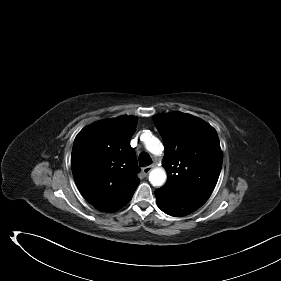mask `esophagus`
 Masks as SVG:
<instances>
[{
  "label": "esophagus",
  "mask_w": 281,
  "mask_h": 281,
  "mask_svg": "<svg viewBox=\"0 0 281 281\" xmlns=\"http://www.w3.org/2000/svg\"><path fill=\"white\" fill-rule=\"evenodd\" d=\"M154 167V165H149V166H146L142 169V172L147 175L151 170L152 168Z\"/></svg>",
  "instance_id": "1"
}]
</instances>
